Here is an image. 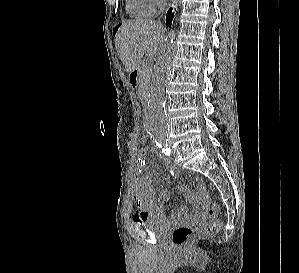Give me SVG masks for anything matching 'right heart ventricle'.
<instances>
[{"instance_id":"e07e8e85","label":"right heart ventricle","mask_w":299,"mask_h":273,"mask_svg":"<svg viewBox=\"0 0 299 273\" xmlns=\"http://www.w3.org/2000/svg\"><path fill=\"white\" fill-rule=\"evenodd\" d=\"M127 11L135 17H149L152 15L142 0H126Z\"/></svg>"}]
</instances>
